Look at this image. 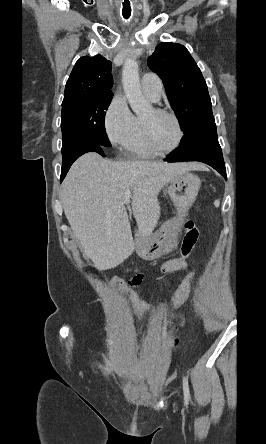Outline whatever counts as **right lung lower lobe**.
Segmentation results:
<instances>
[{"mask_svg":"<svg viewBox=\"0 0 266 444\" xmlns=\"http://www.w3.org/2000/svg\"><path fill=\"white\" fill-rule=\"evenodd\" d=\"M104 147L90 142V143H85L82 146H80L77 151L75 153H73L72 155H70L69 157H67L66 159H63V165H62V171H61V177H60V182H62V180L65 178L69 168L71 167V165L73 164V162L79 158L81 155L87 153V152H97L100 155L104 156Z\"/></svg>","mask_w":266,"mask_h":444,"instance_id":"right-lung-lower-lobe-1","label":"right lung lower lobe"}]
</instances>
